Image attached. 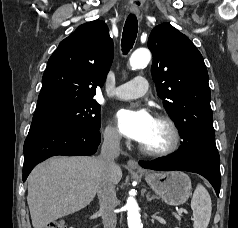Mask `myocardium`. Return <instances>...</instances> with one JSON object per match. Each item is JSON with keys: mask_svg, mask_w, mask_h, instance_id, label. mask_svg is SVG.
Returning a JSON list of instances; mask_svg holds the SVG:
<instances>
[{"mask_svg": "<svg viewBox=\"0 0 238 228\" xmlns=\"http://www.w3.org/2000/svg\"><path fill=\"white\" fill-rule=\"evenodd\" d=\"M155 120L165 124L170 132V142L161 149H150L139 144V150L146 156L163 157L174 153L180 144V132L175 122L165 114H157Z\"/></svg>", "mask_w": 238, "mask_h": 228, "instance_id": "obj_1", "label": "myocardium"}]
</instances>
